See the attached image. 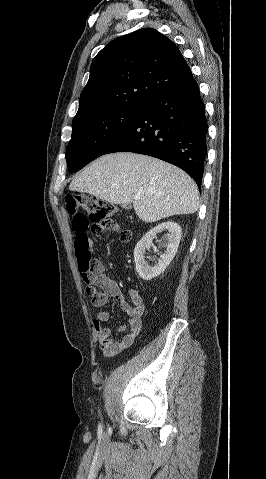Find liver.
<instances>
[{
  "mask_svg": "<svg viewBox=\"0 0 266 479\" xmlns=\"http://www.w3.org/2000/svg\"><path fill=\"white\" fill-rule=\"evenodd\" d=\"M69 189L88 193L113 204L133 203L144 222H156L199 208L194 180L178 167L130 152L104 155L88 165ZM134 195H140L138 200Z\"/></svg>",
  "mask_w": 266,
  "mask_h": 479,
  "instance_id": "liver-1",
  "label": "liver"
}]
</instances>
